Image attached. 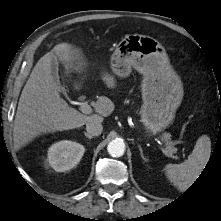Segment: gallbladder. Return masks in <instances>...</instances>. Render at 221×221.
<instances>
[{"instance_id": "gallbladder-1", "label": "gallbladder", "mask_w": 221, "mask_h": 221, "mask_svg": "<svg viewBox=\"0 0 221 221\" xmlns=\"http://www.w3.org/2000/svg\"><path fill=\"white\" fill-rule=\"evenodd\" d=\"M51 74L53 76V79H54V82L56 84V88L58 89L59 92L63 93L66 97H67V94H66V91H65V88L64 86H62L60 84V81H59V75H58V62L53 59L51 61Z\"/></svg>"}]
</instances>
